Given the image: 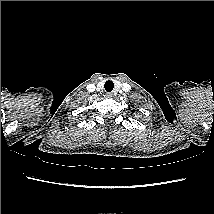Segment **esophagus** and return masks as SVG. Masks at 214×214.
<instances>
[{
    "label": "esophagus",
    "mask_w": 214,
    "mask_h": 214,
    "mask_svg": "<svg viewBox=\"0 0 214 214\" xmlns=\"http://www.w3.org/2000/svg\"><path fill=\"white\" fill-rule=\"evenodd\" d=\"M106 96H107L108 98H112V97H113V93H107Z\"/></svg>",
    "instance_id": "1"
}]
</instances>
